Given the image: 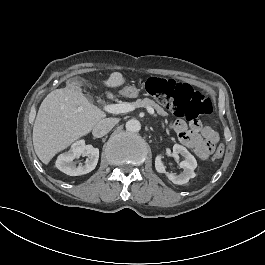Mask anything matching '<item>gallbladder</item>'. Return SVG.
I'll return each instance as SVG.
<instances>
[{"mask_svg":"<svg viewBox=\"0 0 265 265\" xmlns=\"http://www.w3.org/2000/svg\"><path fill=\"white\" fill-rule=\"evenodd\" d=\"M78 81H79V83L82 84V83H84L85 80H84V78L81 77V78H79ZM87 99H88L89 101H91L92 97H91V96H88Z\"/></svg>","mask_w":265,"mask_h":265,"instance_id":"bac80fb5","label":"gallbladder"}]
</instances>
